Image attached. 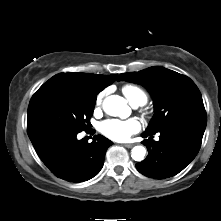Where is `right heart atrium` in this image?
Returning a JSON list of instances; mask_svg holds the SVG:
<instances>
[{
	"label": "right heart atrium",
	"instance_id": "d8ad5b80",
	"mask_svg": "<svg viewBox=\"0 0 221 221\" xmlns=\"http://www.w3.org/2000/svg\"><path fill=\"white\" fill-rule=\"evenodd\" d=\"M104 92L100 93L96 98V106L99 107L102 104V100L104 97Z\"/></svg>",
	"mask_w": 221,
	"mask_h": 221
}]
</instances>
